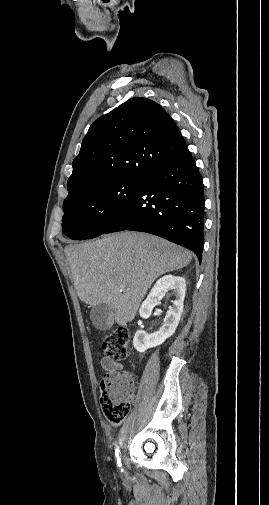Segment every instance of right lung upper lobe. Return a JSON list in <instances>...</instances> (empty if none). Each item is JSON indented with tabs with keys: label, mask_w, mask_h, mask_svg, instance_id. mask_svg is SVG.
<instances>
[{
	"label": "right lung upper lobe",
	"mask_w": 269,
	"mask_h": 505,
	"mask_svg": "<svg viewBox=\"0 0 269 505\" xmlns=\"http://www.w3.org/2000/svg\"><path fill=\"white\" fill-rule=\"evenodd\" d=\"M185 149L175 122L159 104L131 98L90 126L73 161L66 199L96 185L140 180Z\"/></svg>",
	"instance_id": "obj_1"
}]
</instances>
